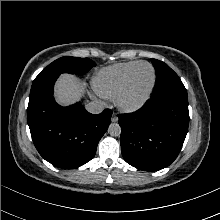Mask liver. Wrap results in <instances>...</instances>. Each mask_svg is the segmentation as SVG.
Wrapping results in <instances>:
<instances>
[{"instance_id": "6515ba94", "label": "liver", "mask_w": 220, "mask_h": 220, "mask_svg": "<svg viewBox=\"0 0 220 220\" xmlns=\"http://www.w3.org/2000/svg\"><path fill=\"white\" fill-rule=\"evenodd\" d=\"M85 91V84L74 75L62 74L55 85V98L61 105H69L79 100Z\"/></svg>"}]
</instances>
